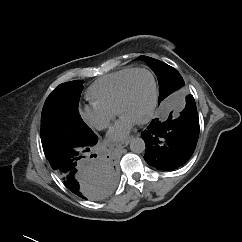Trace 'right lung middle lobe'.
Instances as JSON below:
<instances>
[{
    "instance_id": "obj_1",
    "label": "right lung middle lobe",
    "mask_w": 242,
    "mask_h": 242,
    "mask_svg": "<svg viewBox=\"0 0 242 242\" xmlns=\"http://www.w3.org/2000/svg\"><path fill=\"white\" fill-rule=\"evenodd\" d=\"M83 83L81 80L63 83L48 96L41 115V141L45 156L94 135L78 111Z\"/></svg>"
}]
</instances>
